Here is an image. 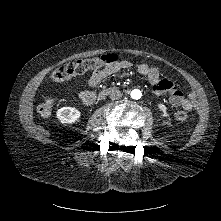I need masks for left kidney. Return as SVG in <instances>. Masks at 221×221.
I'll return each mask as SVG.
<instances>
[{"label":"left kidney","mask_w":221,"mask_h":221,"mask_svg":"<svg viewBox=\"0 0 221 221\" xmlns=\"http://www.w3.org/2000/svg\"><path fill=\"white\" fill-rule=\"evenodd\" d=\"M158 107H159V109H160L161 111L164 112V115H163V116H167V115H166V109H167L166 106H165L164 104H159Z\"/></svg>","instance_id":"5707ae66"}]
</instances>
